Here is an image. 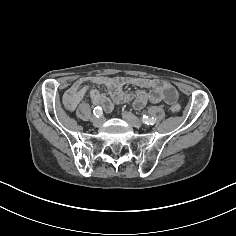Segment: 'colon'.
Here are the masks:
<instances>
[{
	"instance_id": "colon-1",
	"label": "colon",
	"mask_w": 236,
	"mask_h": 236,
	"mask_svg": "<svg viewBox=\"0 0 236 236\" xmlns=\"http://www.w3.org/2000/svg\"><path fill=\"white\" fill-rule=\"evenodd\" d=\"M180 111V106L177 104H174L170 107V112L173 114H177Z\"/></svg>"
}]
</instances>
